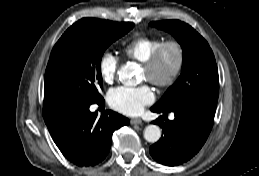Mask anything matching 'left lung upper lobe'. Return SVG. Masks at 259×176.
Wrapping results in <instances>:
<instances>
[{
    "label": "left lung upper lobe",
    "mask_w": 259,
    "mask_h": 176,
    "mask_svg": "<svg viewBox=\"0 0 259 176\" xmlns=\"http://www.w3.org/2000/svg\"><path fill=\"white\" fill-rule=\"evenodd\" d=\"M150 26L171 33L183 49L180 77L154 106L166 111L186 104L216 109L219 76L214 54L207 41L190 25L179 20L155 21Z\"/></svg>",
    "instance_id": "left-lung-upper-lobe-1"
}]
</instances>
